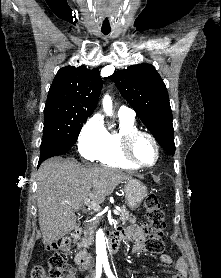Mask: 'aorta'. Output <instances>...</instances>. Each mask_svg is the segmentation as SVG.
Returning a JSON list of instances; mask_svg holds the SVG:
<instances>
[{"label": "aorta", "instance_id": "obj_1", "mask_svg": "<svg viewBox=\"0 0 221 278\" xmlns=\"http://www.w3.org/2000/svg\"><path fill=\"white\" fill-rule=\"evenodd\" d=\"M103 110L107 116L113 115V104L112 99L109 95H105L102 100ZM96 260L99 263L107 261V252H106V241L105 235L101 229L96 233Z\"/></svg>", "mask_w": 221, "mask_h": 278}]
</instances>
